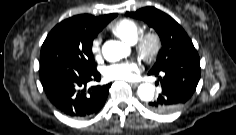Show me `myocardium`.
<instances>
[{
	"label": "myocardium",
	"instance_id": "1",
	"mask_svg": "<svg viewBox=\"0 0 236 135\" xmlns=\"http://www.w3.org/2000/svg\"><path fill=\"white\" fill-rule=\"evenodd\" d=\"M138 55L147 62L154 61L161 50V39L155 30L141 33L134 43Z\"/></svg>",
	"mask_w": 236,
	"mask_h": 135
}]
</instances>
